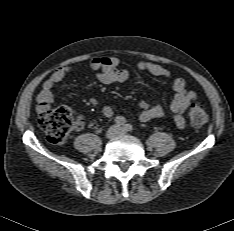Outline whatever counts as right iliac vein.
I'll return each instance as SVG.
<instances>
[{
  "label": "right iliac vein",
  "mask_w": 234,
  "mask_h": 231,
  "mask_svg": "<svg viewBox=\"0 0 234 231\" xmlns=\"http://www.w3.org/2000/svg\"><path fill=\"white\" fill-rule=\"evenodd\" d=\"M119 133H120L119 127L118 126H112L106 132V137L108 139H113L114 137H116L117 135H119Z\"/></svg>",
  "instance_id": "obj_1"
}]
</instances>
